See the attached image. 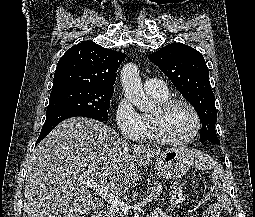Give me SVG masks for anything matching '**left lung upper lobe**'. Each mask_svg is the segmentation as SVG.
<instances>
[{
  "label": "left lung upper lobe",
  "instance_id": "5c2ea615",
  "mask_svg": "<svg viewBox=\"0 0 255 217\" xmlns=\"http://www.w3.org/2000/svg\"><path fill=\"white\" fill-rule=\"evenodd\" d=\"M149 59L193 105L202 122L201 142L220 145L215 130L217 111L214 95L202 54L188 45L172 43L150 54Z\"/></svg>",
  "mask_w": 255,
  "mask_h": 217
}]
</instances>
